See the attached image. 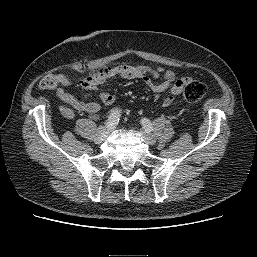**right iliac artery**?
Listing matches in <instances>:
<instances>
[{
	"mask_svg": "<svg viewBox=\"0 0 257 257\" xmlns=\"http://www.w3.org/2000/svg\"><path fill=\"white\" fill-rule=\"evenodd\" d=\"M119 118H120V111L113 110L108 117V120L106 122V127L108 129L114 128L119 122Z\"/></svg>",
	"mask_w": 257,
	"mask_h": 257,
	"instance_id": "1",
	"label": "right iliac artery"
}]
</instances>
